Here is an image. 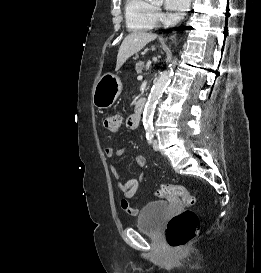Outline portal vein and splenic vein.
Listing matches in <instances>:
<instances>
[{
	"label": "portal vein and splenic vein",
	"mask_w": 261,
	"mask_h": 273,
	"mask_svg": "<svg viewBox=\"0 0 261 273\" xmlns=\"http://www.w3.org/2000/svg\"><path fill=\"white\" fill-rule=\"evenodd\" d=\"M137 79H138V80H142V79H143V76H142V75H139V76L137 77Z\"/></svg>",
	"instance_id": "portal-vein-and-splenic-vein-1"
}]
</instances>
